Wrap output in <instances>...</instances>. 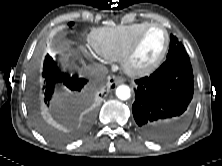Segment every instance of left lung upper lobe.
<instances>
[{"label": "left lung upper lobe", "instance_id": "1", "mask_svg": "<svg viewBox=\"0 0 222 166\" xmlns=\"http://www.w3.org/2000/svg\"><path fill=\"white\" fill-rule=\"evenodd\" d=\"M174 58H184L189 59L187 52L185 51L184 46L178 39L171 35L170 37V46L169 51L167 54V60L174 59Z\"/></svg>", "mask_w": 222, "mask_h": 166}]
</instances>
